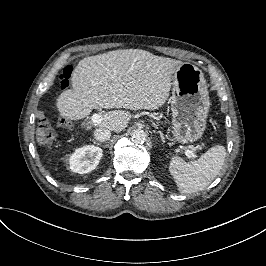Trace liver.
I'll return each instance as SVG.
<instances>
[{"label": "liver", "instance_id": "obj_1", "mask_svg": "<svg viewBox=\"0 0 266 266\" xmlns=\"http://www.w3.org/2000/svg\"><path fill=\"white\" fill-rule=\"evenodd\" d=\"M181 61L141 49L114 50L79 61L72 73L73 89L63 91L56 106L60 115L79 120L93 109L154 110L169 96L172 74ZM96 124L116 133L124 130L131 114L124 110L103 113Z\"/></svg>", "mask_w": 266, "mask_h": 266}]
</instances>
